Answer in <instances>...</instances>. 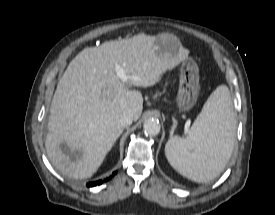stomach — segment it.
<instances>
[{"label": "stomach", "instance_id": "stomach-1", "mask_svg": "<svg viewBox=\"0 0 275 215\" xmlns=\"http://www.w3.org/2000/svg\"><path fill=\"white\" fill-rule=\"evenodd\" d=\"M153 48L158 56L174 57L178 54L182 45L179 39L173 34L162 33L157 35ZM199 91L198 65L192 59L183 60L176 97V104L180 112H188L194 107L199 96Z\"/></svg>", "mask_w": 275, "mask_h": 215}]
</instances>
